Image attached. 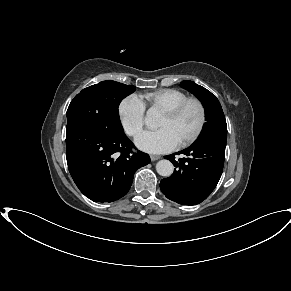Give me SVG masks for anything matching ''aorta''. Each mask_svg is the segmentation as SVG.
Here are the masks:
<instances>
[{
  "mask_svg": "<svg viewBox=\"0 0 291 291\" xmlns=\"http://www.w3.org/2000/svg\"><path fill=\"white\" fill-rule=\"evenodd\" d=\"M157 120H158L157 112L153 108L148 109L145 117L146 126L149 128L157 127ZM156 171L161 176L169 177L173 174L174 166L171 163V161L163 159L157 162Z\"/></svg>",
  "mask_w": 291,
  "mask_h": 291,
  "instance_id": "aorta-1",
  "label": "aorta"
}]
</instances>
